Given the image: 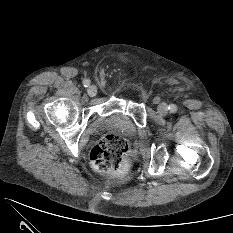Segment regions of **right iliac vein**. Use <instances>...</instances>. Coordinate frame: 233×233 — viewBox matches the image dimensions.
<instances>
[{
  "label": "right iliac vein",
  "instance_id": "right-iliac-vein-1",
  "mask_svg": "<svg viewBox=\"0 0 233 233\" xmlns=\"http://www.w3.org/2000/svg\"><path fill=\"white\" fill-rule=\"evenodd\" d=\"M87 93L89 96L94 97L97 94V87L94 85H91L87 89Z\"/></svg>",
  "mask_w": 233,
  "mask_h": 233
}]
</instances>
